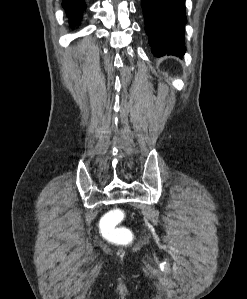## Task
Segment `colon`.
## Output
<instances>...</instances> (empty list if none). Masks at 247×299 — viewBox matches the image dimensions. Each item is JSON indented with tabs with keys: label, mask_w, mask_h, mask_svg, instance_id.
I'll use <instances>...</instances> for the list:
<instances>
[{
	"label": "colon",
	"mask_w": 247,
	"mask_h": 299,
	"mask_svg": "<svg viewBox=\"0 0 247 299\" xmlns=\"http://www.w3.org/2000/svg\"><path fill=\"white\" fill-rule=\"evenodd\" d=\"M122 218L123 213L120 210H113L103 218L101 222V230L108 240L118 243H127L131 241V231L120 226Z\"/></svg>",
	"instance_id": "1"
}]
</instances>
